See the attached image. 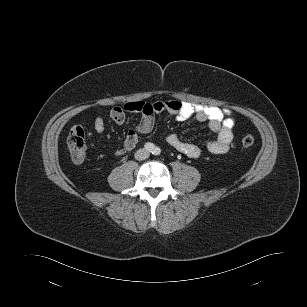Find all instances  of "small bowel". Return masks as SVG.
Returning <instances> with one entry per match:
<instances>
[{"mask_svg":"<svg viewBox=\"0 0 307 307\" xmlns=\"http://www.w3.org/2000/svg\"><path fill=\"white\" fill-rule=\"evenodd\" d=\"M166 112L174 115L177 120L185 121L194 118L196 121L206 123L216 138L206 143V151L211 154H224L229 150L233 139L232 129L235 125L231 112L217 106H207L190 102L167 100L154 103L144 101H131L123 106H116L109 112L110 118L121 124L125 121L127 113H138L139 123L135 128L129 129L123 144V148L116 155H123L133 150L138 144L140 134L149 133L154 126L156 114ZM94 129L102 134L105 129L104 119L100 116L94 120ZM165 140L174 149L190 158H199L204 150L195 144L183 141L177 134L171 133L165 136Z\"/></svg>","mask_w":307,"mask_h":307,"instance_id":"small-bowel-1","label":"small bowel"}]
</instances>
